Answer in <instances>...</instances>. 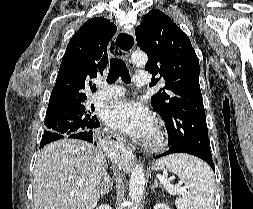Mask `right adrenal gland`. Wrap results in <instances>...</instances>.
<instances>
[{"label":"right adrenal gland","mask_w":253,"mask_h":209,"mask_svg":"<svg viewBox=\"0 0 253 209\" xmlns=\"http://www.w3.org/2000/svg\"><path fill=\"white\" fill-rule=\"evenodd\" d=\"M104 186V192L102 194H108L110 189H113V180L109 176L108 172L106 171L103 176V182L101 184V187Z\"/></svg>","instance_id":"obj_1"}]
</instances>
